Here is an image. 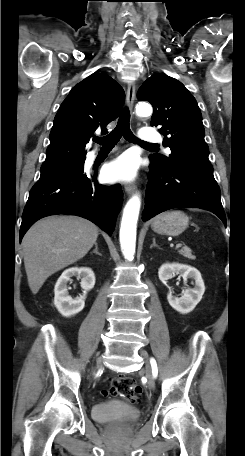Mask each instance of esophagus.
<instances>
[{
  "instance_id": "obj_1",
  "label": "esophagus",
  "mask_w": 245,
  "mask_h": 456,
  "mask_svg": "<svg viewBox=\"0 0 245 456\" xmlns=\"http://www.w3.org/2000/svg\"><path fill=\"white\" fill-rule=\"evenodd\" d=\"M135 83L130 82L127 87V92H126V103L130 111H132L133 104H134V99H135ZM125 191L128 194H132L136 190V185L134 183H127L125 184Z\"/></svg>"
}]
</instances>
